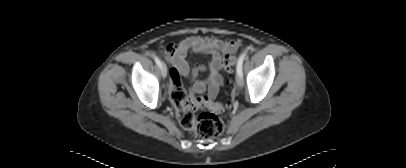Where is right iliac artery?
Returning a JSON list of instances; mask_svg holds the SVG:
<instances>
[{"mask_svg": "<svg viewBox=\"0 0 406 168\" xmlns=\"http://www.w3.org/2000/svg\"><path fill=\"white\" fill-rule=\"evenodd\" d=\"M153 58H154L156 64L158 65V67L161 69L162 63H161L160 59L155 55L153 56Z\"/></svg>", "mask_w": 406, "mask_h": 168, "instance_id": "82829eb1", "label": "right iliac artery"}]
</instances>
